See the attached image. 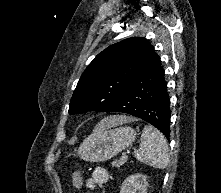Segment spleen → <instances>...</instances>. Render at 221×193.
<instances>
[{
    "label": "spleen",
    "instance_id": "1",
    "mask_svg": "<svg viewBox=\"0 0 221 193\" xmlns=\"http://www.w3.org/2000/svg\"><path fill=\"white\" fill-rule=\"evenodd\" d=\"M136 158L157 169H165L168 166V145L159 130L152 126H144Z\"/></svg>",
    "mask_w": 221,
    "mask_h": 193
}]
</instances>
